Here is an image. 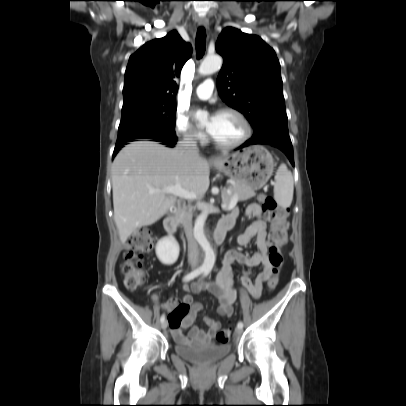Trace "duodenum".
<instances>
[{
  "instance_id": "410a0bca",
  "label": "duodenum",
  "mask_w": 406,
  "mask_h": 406,
  "mask_svg": "<svg viewBox=\"0 0 406 406\" xmlns=\"http://www.w3.org/2000/svg\"><path fill=\"white\" fill-rule=\"evenodd\" d=\"M185 209H186L185 203L180 202L177 208L174 210V212L164 219V229L169 235L171 236L176 235L178 221L181 217V214L185 211ZM233 224L234 223L231 221L221 220L219 222L213 233V238L217 245H220L224 242L226 234L228 230L232 228Z\"/></svg>"
}]
</instances>
